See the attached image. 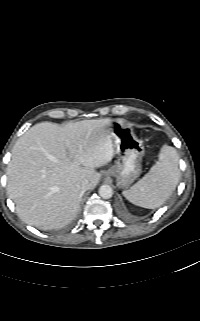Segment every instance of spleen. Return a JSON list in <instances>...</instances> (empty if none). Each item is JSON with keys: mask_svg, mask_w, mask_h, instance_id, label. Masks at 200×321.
Instances as JSON below:
<instances>
[{"mask_svg": "<svg viewBox=\"0 0 200 321\" xmlns=\"http://www.w3.org/2000/svg\"><path fill=\"white\" fill-rule=\"evenodd\" d=\"M181 173L179 156L175 148L164 144L158 161L130 189L124 190V197L137 206L155 209L161 206L174 192Z\"/></svg>", "mask_w": 200, "mask_h": 321, "instance_id": "obj_1", "label": "spleen"}]
</instances>
